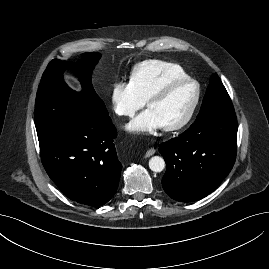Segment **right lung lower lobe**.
<instances>
[{
  "mask_svg": "<svg viewBox=\"0 0 269 269\" xmlns=\"http://www.w3.org/2000/svg\"><path fill=\"white\" fill-rule=\"evenodd\" d=\"M116 136L111 119H83L60 134L39 141L42 163L69 199L101 206L113 197L119 185L122 165L113 144Z\"/></svg>",
  "mask_w": 269,
  "mask_h": 269,
  "instance_id": "right-lung-lower-lobe-1",
  "label": "right lung lower lobe"
}]
</instances>
